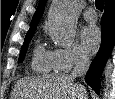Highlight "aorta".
Returning <instances> with one entry per match:
<instances>
[{
  "mask_svg": "<svg viewBox=\"0 0 115 99\" xmlns=\"http://www.w3.org/2000/svg\"><path fill=\"white\" fill-rule=\"evenodd\" d=\"M79 8L77 0H53L49 13V30L56 44L62 47L73 44Z\"/></svg>",
  "mask_w": 115,
  "mask_h": 99,
  "instance_id": "obj_1",
  "label": "aorta"
}]
</instances>
